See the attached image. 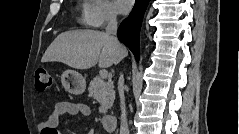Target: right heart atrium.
<instances>
[{
    "mask_svg": "<svg viewBox=\"0 0 239 134\" xmlns=\"http://www.w3.org/2000/svg\"><path fill=\"white\" fill-rule=\"evenodd\" d=\"M85 22L95 28H101L117 19V11L111 1L89 0L84 9Z\"/></svg>",
    "mask_w": 239,
    "mask_h": 134,
    "instance_id": "right-heart-atrium-1",
    "label": "right heart atrium"
}]
</instances>
